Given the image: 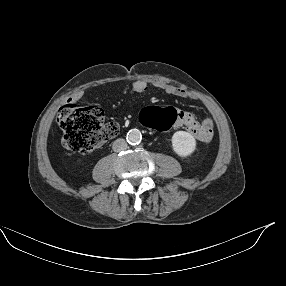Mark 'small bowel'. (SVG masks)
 Here are the masks:
<instances>
[{
  "instance_id": "small-bowel-1",
  "label": "small bowel",
  "mask_w": 286,
  "mask_h": 286,
  "mask_svg": "<svg viewBox=\"0 0 286 286\" xmlns=\"http://www.w3.org/2000/svg\"><path fill=\"white\" fill-rule=\"evenodd\" d=\"M159 88L164 92L187 99H196L197 95L187 89L172 84H161ZM148 90V84L143 80L135 81L130 91L133 93H143ZM173 109V108H171ZM177 121L173 128L182 127L188 130L200 142H209L214 134V120L211 116H206L202 121H198L193 114L174 109Z\"/></svg>"
}]
</instances>
